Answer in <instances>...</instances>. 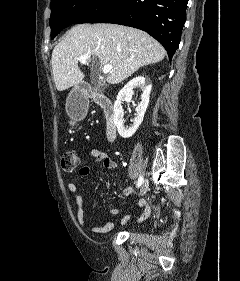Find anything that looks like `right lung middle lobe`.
I'll return each mask as SVG.
<instances>
[{"mask_svg":"<svg viewBox=\"0 0 240 281\" xmlns=\"http://www.w3.org/2000/svg\"><path fill=\"white\" fill-rule=\"evenodd\" d=\"M118 0H51V38L75 23H92L111 9Z\"/></svg>","mask_w":240,"mask_h":281,"instance_id":"right-lung-middle-lobe-1","label":"right lung middle lobe"}]
</instances>
